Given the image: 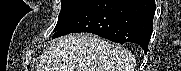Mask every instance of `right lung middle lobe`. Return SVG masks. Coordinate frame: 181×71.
<instances>
[{
	"label": "right lung middle lobe",
	"mask_w": 181,
	"mask_h": 71,
	"mask_svg": "<svg viewBox=\"0 0 181 71\" xmlns=\"http://www.w3.org/2000/svg\"><path fill=\"white\" fill-rule=\"evenodd\" d=\"M93 1L94 0H61V12L54 31H57L72 20L80 11L85 9Z\"/></svg>",
	"instance_id": "right-lung-middle-lobe-1"
}]
</instances>
